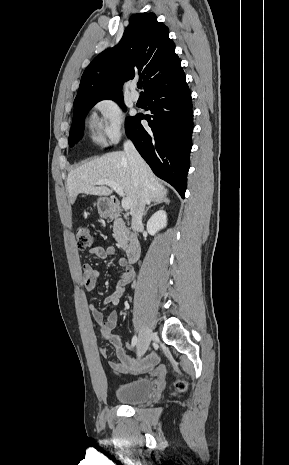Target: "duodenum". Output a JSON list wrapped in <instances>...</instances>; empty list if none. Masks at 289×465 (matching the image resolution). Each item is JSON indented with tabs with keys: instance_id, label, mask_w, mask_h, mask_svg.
<instances>
[{
	"instance_id": "1",
	"label": "duodenum",
	"mask_w": 289,
	"mask_h": 465,
	"mask_svg": "<svg viewBox=\"0 0 289 465\" xmlns=\"http://www.w3.org/2000/svg\"><path fill=\"white\" fill-rule=\"evenodd\" d=\"M106 210H107L108 215L112 218L121 217L119 202L117 199H112L109 202ZM140 253H141L140 243L137 238L132 236L130 238L129 245L126 250V257H127L128 262L135 263L139 259Z\"/></svg>"
}]
</instances>
